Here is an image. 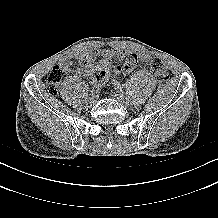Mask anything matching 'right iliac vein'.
<instances>
[{"label":"right iliac vein","instance_id":"right-iliac-vein-1","mask_svg":"<svg viewBox=\"0 0 218 218\" xmlns=\"http://www.w3.org/2000/svg\"><path fill=\"white\" fill-rule=\"evenodd\" d=\"M97 101V96L95 94H92L88 97L87 99V105L90 107L92 105H94Z\"/></svg>","mask_w":218,"mask_h":218}]
</instances>
